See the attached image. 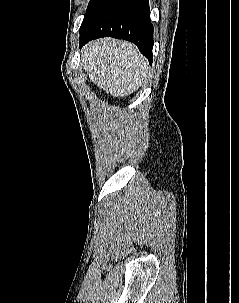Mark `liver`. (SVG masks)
Listing matches in <instances>:
<instances>
[{
	"instance_id": "obj_1",
	"label": "liver",
	"mask_w": 239,
	"mask_h": 303,
	"mask_svg": "<svg viewBox=\"0 0 239 303\" xmlns=\"http://www.w3.org/2000/svg\"><path fill=\"white\" fill-rule=\"evenodd\" d=\"M81 57L89 79L113 97L132 94L147 77V60L127 41L97 39L83 48Z\"/></svg>"
}]
</instances>
